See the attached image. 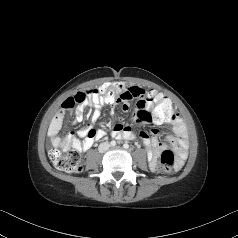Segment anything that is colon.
<instances>
[{"mask_svg": "<svg viewBox=\"0 0 238 238\" xmlns=\"http://www.w3.org/2000/svg\"><path fill=\"white\" fill-rule=\"evenodd\" d=\"M106 84L107 85H104L99 89L77 92L75 95L68 97L63 103L64 108H72L75 103L82 102L91 93L105 94V103H118L119 98L124 91V87L122 86L124 81L107 80ZM146 96L152 103V108L149 109L147 113L148 117L166 122L175 116L172 104L165 93H158L156 89L151 88L147 91ZM49 156L53 165L60 171L79 173L82 170L81 155L75 150H69L63 153L57 149H53L50 151ZM177 165V159L173 152L165 150L161 154L158 171L161 174H170L175 171Z\"/></svg>", "mask_w": 238, "mask_h": 238, "instance_id": "5ec220e1", "label": "colon"}]
</instances>
